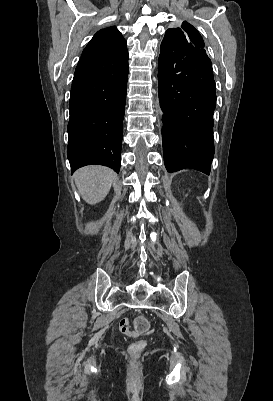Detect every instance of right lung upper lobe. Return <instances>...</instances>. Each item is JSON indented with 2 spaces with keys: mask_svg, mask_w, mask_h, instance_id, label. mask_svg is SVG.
I'll return each mask as SVG.
<instances>
[{
  "mask_svg": "<svg viewBox=\"0 0 273 401\" xmlns=\"http://www.w3.org/2000/svg\"><path fill=\"white\" fill-rule=\"evenodd\" d=\"M127 58L126 41L116 27L102 29L85 47L72 83L98 75Z\"/></svg>",
  "mask_w": 273,
  "mask_h": 401,
  "instance_id": "cb5924a9",
  "label": "right lung upper lobe"
}]
</instances>
